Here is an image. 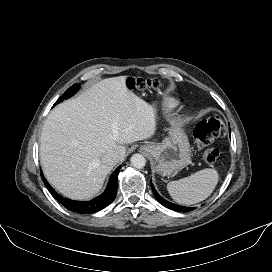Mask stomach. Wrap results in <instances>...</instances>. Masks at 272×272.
<instances>
[{
    "label": "stomach",
    "mask_w": 272,
    "mask_h": 272,
    "mask_svg": "<svg viewBox=\"0 0 272 272\" xmlns=\"http://www.w3.org/2000/svg\"><path fill=\"white\" fill-rule=\"evenodd\" d=\"M152 105L157 110L158 103L154 102ZM141 150L153 157L156 172L163 176L180 171L191 161L188 137L178 127L169 129L163 142L143 145Z\"/></svg>",
    "instance_id": "1"
}]
</instances>
